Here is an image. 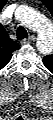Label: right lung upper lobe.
<instances>
[{
	"instance_id": "1",
	"label": "right lung upper lobe",
	"mask_w": 53,
	"mask_h": 120,
	"mask_svg": "<svg viewBox=\"0 0 53 120\" xmlns=\"http://www.w3.org/2000/svg\"><path fill=\"white\" fill-rule=\"evenodd\" d=\"M19 49V45L17 42L11 40L3 28L1 26L0 32V66L4 67L7 63H9L12 52Z\"/></svg>"
}]
</instances>
